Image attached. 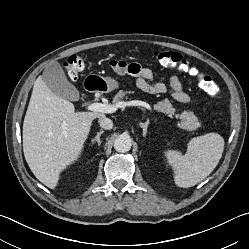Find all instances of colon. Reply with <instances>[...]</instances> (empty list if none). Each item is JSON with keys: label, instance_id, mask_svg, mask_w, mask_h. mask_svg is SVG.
<instances>
[{"label": "colon", "instance_id": "1", "mask_svg": "<svg viewBox=\"0 0 249 249\" xmlns=\"http://www.w3.org/2000/svg\"><path fill=\"white\" fill-rule=\"evenodd\" d=\"M155 59L164 67L177 68L178 70L188 73L198 79L200 88L209 96H215L217 92V86L212 77L203 74L199 71L198 67L188 62L179 53L174 51H156ZM111 67L117 71H125L127 63L120 60H112L110 62ZM65 69L71 79H77L78 76L85 69V61L79 55L70 56L66 63Z\"/></svg>", "mask_w": 249, "mask_h": 249}]
</instances>
